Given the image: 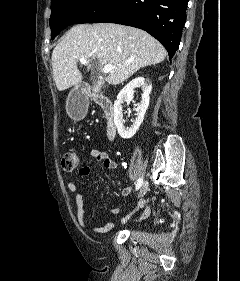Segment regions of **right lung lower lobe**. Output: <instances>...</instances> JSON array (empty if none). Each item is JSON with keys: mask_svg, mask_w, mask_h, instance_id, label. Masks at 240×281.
I'll list each match as a JSON object with an SVG mask.
<instances>
[{"mask_svg": "<svg viewBox=\"0 0 240 281\" xmlns=\"http://www.w3.org/2000/svg\"><path fill=\"white\" fill-rule=\"evenodd\" d=\"M188 0H118L92 23H118L140 28L160 41L172 59L186 20Z\"/></svg>", "mask_w": 240, "mask_h": 281, "instance_id": "obj_1", "label": "right lung lower lobe"}]
</instances>
